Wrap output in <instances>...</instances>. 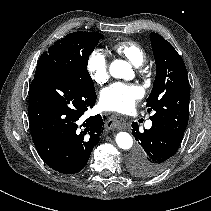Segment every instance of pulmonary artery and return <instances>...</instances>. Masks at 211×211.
<instances>
[{"instance_id":"e3ab8cb5","label":"pulmonary artery","mask_w":211,"mask_h":211,"mask_svg":"<svg viewBox=\"0 0 211 211\" xmlns=\"http://www.w3.org/2000/svg\"><path fill=\"white\" fill-rule=\"evenodd\" d=\"M151 126H152V122L151 121H147V123H146V128H151Z\"/></svg>"}]
</instances>
